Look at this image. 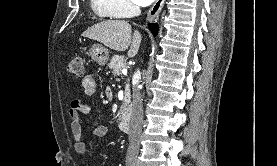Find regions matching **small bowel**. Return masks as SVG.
<instances>
[{
	"instance_id": "obj_1",
	"label": "small bowel",
	"mask_w": 277,
	"mask_h": 166,
	"mask_svg": "<svg viewBox=\"0 0 277 166\" xmlns=\"http://www.w3.org/2000/svg\"><path fill=\"white\" fill-rule=\"evenodd\" d=\"M97 79L94 74H87L82 79L83 95L91 96L96 92ZM91 112L90 104L85 100L76 99L70 103L69 117L71 120L70 128L74 136V148L76 152L82 156H87V144L83 138V124L81 120L82 115L89 114ZM107 133L105 126H97L93 132L92 137L96 139L103 138Z\"/></svg>"
}]
</instances>
